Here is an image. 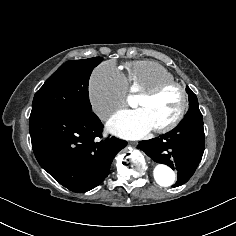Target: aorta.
I'll list each match as a JSON object with an SVG mask.
<instances>
[{"label": "aorta", "mask_w": 236, "mask_h": 236, "mask_svg": "<svg viewBox=\"0 0 236 236\" xmlns=\"http://www.w3.org/2000/svg\"><path fill=\"white\" fill-rule=\"evenodd\" d=\"M154 179L157 184L168 187L174 184L176 175L174 171L165 164H157L153 171Z\"/></svg>", "instance_id": "1"}]
</instances>
